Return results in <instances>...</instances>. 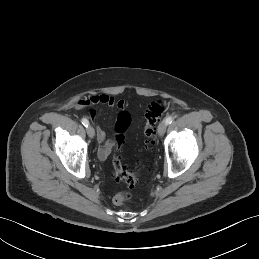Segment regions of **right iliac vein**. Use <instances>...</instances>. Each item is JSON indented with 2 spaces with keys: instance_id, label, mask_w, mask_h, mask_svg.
Returning <instances> with one entry per match:
<instances>
[{
  "instance_id": "right-iliac-vein-1",
  "label": "right iliac vein",
  "mask_w": 259,
  "mask_h": 259,
  "mask_svg": "<svg viewBox=\"0 0 259 259\" xmlns=\"http://www.w3.org/2000/svg\"><path fill=\"white\" fill-rule=\"evenodd\" d=\"M86 131H87V134H88V136H89L90 138H94V136H95V131H94V128H93L92 126L89 125V126L87 127Z\"/></svg>"
}]
</instances>
